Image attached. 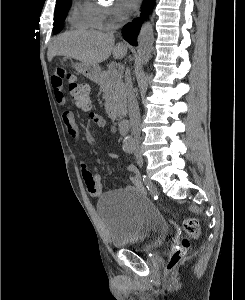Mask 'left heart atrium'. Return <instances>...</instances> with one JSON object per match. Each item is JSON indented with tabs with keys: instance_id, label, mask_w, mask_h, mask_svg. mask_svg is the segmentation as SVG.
I'll return each mask as SVG.
<instances>
[{
	"instance_id": "1",
	"label": "left heart atrium",
	"mask_w": 245,
	"mask_h": 300,
	"mask_svg": "<svg viewBox=\"0 0 245 300\" xmlns=\"http://www.w3.org/2000/svg\"><path fill=\"white\" fill-rule=\"evenodd\" d=\"M125 11L133 9L139 0H120Z\"/></svg>"
}]
</instances>
